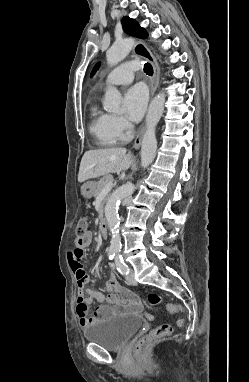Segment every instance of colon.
<instances>
[{
	"instance_id": "1",
	"label": "colon",
	"mask_w": 249,
	"mask_h": 382,
	"mask_svg": "<svg viewBox=\"0 0 249 382\" xmlns=\"http://www.w3.org/2000/svg\"><path fill=\"white\" fill-rule=\"evenodd\" d=\"M87 233H88V221L85 218H80L76 228V236H77L76 239H78L79 241H83ZM78 274L80 276H85L87 273L84 268H81ZM148 301L150 304L155 305V304L161 303L162 298L159 294L153 292L148 295ZM179 309H180L179 306L176 304H172V303L167 304V311L170 314L176 313ZM183 324H184L183 319H179L178 325L182 326ZM172 331H173V328L169 324H163L161 326L154 328L138 341L136 350L138 351V353H141L144 348L151 345L155 340L170 335Z\"/></svg>"
}]
</instances>
